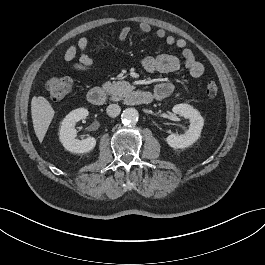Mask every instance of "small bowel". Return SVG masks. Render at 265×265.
<instances>
[{"label": "small bowel", "instance_id": "obj_1", "mask_svg": "<svg viewBox=\"0 0 265 265\" xmlns=\"http://www.w3.org/2000/svg\"><path fill=\"white\" fill-rule=\"evenodd\" d=\"M139 31L142 34H149L151 32V26L148 23H141L139 25ZM131 34V28L124 26L119 34L118 39L120 41L126 40ZM158 38L163 39L169 46L177 47L181 56H175L171 54H162L156 57L146 56L141 59L142 68L150 73H172L178 71L181 66H184L189 75L192 78H199L204 73V66L199 62L192 50L187 46V43L183 39H177L172 35H169L164 29H158L156 32ZM89 41L86 37H80L75 44H72L67 48L64 54V59L67 62H71L77 54L79 59L77 62L71 64V68L76 71H96L97 66L93 59L86 53ZM174 90L172 83L160 82L156 84L152 90V94L157 100H163L170 96Z\"/></svg>", "mask_w": 265, "mask_h": 265}]
</instances>
